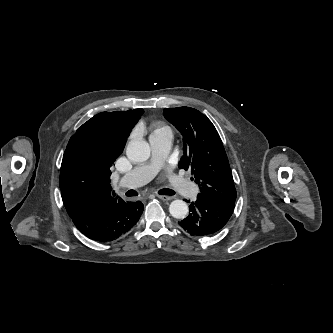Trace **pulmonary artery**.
<instances>
[{
    "instance_id": "pulmonary-artery-1",
    "label": "pulmonary artery",
    "mask_w": 333,
    "mask_h": 333,
    "mask_svg": "<svg viewBox=\"0 0 333 333\" xmlns=\"http://www.w3.org/2000/svg\"><path fill=\"white\" fill-rule=\"evenodd\" d=\"M173 136L168 133L152 134L149 137L151 158L125 174L118 182L120 188H137L149 182L165 163L172 146ZM172 187L181 194L195 191V186L176 175L170 176Z\"/></svg>"
}]
</instances>
